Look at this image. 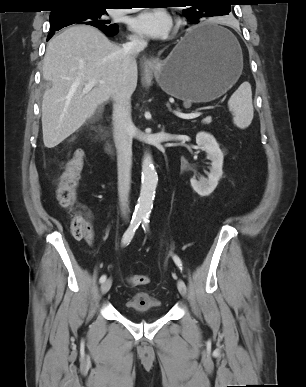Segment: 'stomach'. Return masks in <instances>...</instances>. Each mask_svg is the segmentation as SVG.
Returning a JSON list of instances; mask_svg holds the SVG:
<instances>
[{
  "label": "stomach",
  "instance_id": "0dacf381",
  "mask_svg": "<svg viewBox=\"0 0 306 387\" xmlns=\"http://www.w3.org/2000/svg\"><path fill=\"white\" fill-rule=\"evenodd\" d=\"M209 30L223 32L229 40L208 38L188 42L193 33ZM242 69L243 56L239 43L226 29L211 22L194 26L166 59L153 65L160 87L187 105L220 97L236 83Z\"/></svg>",
  "mask_w": 306,
  "mask_h": 387
}]
</instances>
